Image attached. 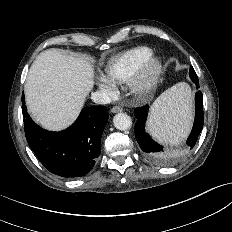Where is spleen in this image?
I'll list each match as a JSON object with an SVG mask.
<instances>
[{"label":"spleen","instance_id":"obj_1","mask_svg":"<svg viewBox=\"0 0 232 232\" xmlns=\"http://www.w3.org/2000/svg\"><path fill=\"white\" fill-rule=\"evenodd\" d=\"M191 89L181 82L163 93L153 104L148 131L160 142L179 144L191 125Z\"/></svg>","mask_w":232,"mask_h":232}]
</instances>
